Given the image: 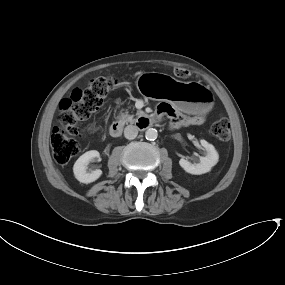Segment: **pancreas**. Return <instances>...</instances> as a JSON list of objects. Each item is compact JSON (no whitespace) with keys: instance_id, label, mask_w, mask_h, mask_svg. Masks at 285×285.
<instances>
[{"instance_id":"obj_1","label":"pancreas","mask_w":285,"mask_h":285,"mask_svg":"<svg viewBox=\"0 0 285 285\" xmlns=\"http://www.w3.org/2000/svg\"><path fill=\"white\" fill-rule=\"evenodd\" d=\"M140 112H137V115H139ZM119 122L122 124H127V123H136L137 119L134 118V115H130L129 111L126 109L124 112L121 110L120 115L118 116Z\"/></svg>"}]
</instances>
